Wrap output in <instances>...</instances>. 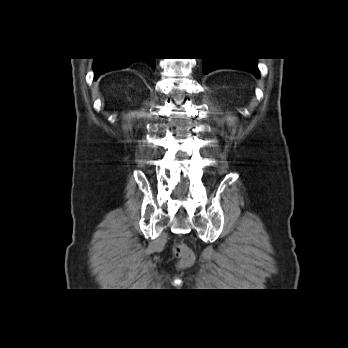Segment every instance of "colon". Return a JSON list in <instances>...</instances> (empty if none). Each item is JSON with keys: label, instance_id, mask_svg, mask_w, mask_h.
<instances>
[{"label": "colon", "instance_id": "obj_1", "mask_svg": "<svg viewBox=\"0 0 348 348\" xmlns=\"http://www.w3.org/2000/svg\"><path fill=\"white\" fill-rule=\"evenodd\" d=\"M173 254L179 260L181 267H188L194 262L193 253L183 243L174 244Z\"/></svg>", "mask_w": 348, "mask_h": 348}]
</instances>
